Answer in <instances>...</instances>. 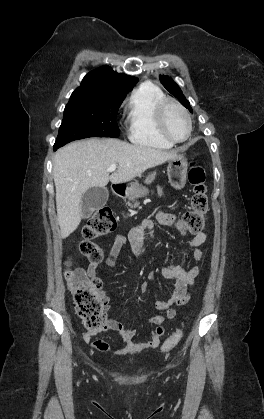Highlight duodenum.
<instances>
[{"label":"duodenum","instance_id":"duodenum-1","mask_svg":"<svg viewBox=\"0 0 264 419\" xmlns=\"http://www.w3.org/2000/svg\"><path fill=\"white\" fill-rule=\"evenodd\" d=\"M125 193V186L118 184L113 186V194L115 197H121Z\"/></svg>","mask_w":264,"mask_h":419}]
</instances>
